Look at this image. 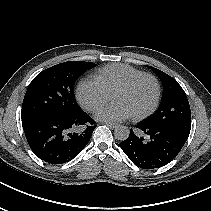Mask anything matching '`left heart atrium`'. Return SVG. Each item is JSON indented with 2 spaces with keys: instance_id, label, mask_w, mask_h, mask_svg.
I'll use <instances>...</instances> for the list:
<instances>
[{
  "instance_id": "39dd6f15",
  "label": "left heart atrium",
  "mask_w": 211,
  "mask_h": 211,
  "mask_svg": "<svg viewBox=\"0 0 211 211\" xmlns=\"http://www.w3.org/2000/svg\"><path fill=\"white\" fill-rule=\"evenodd\" d=\"M132 115L131 111L121 103H112L104 106L95 113L96 119L105 122H120L130 118Z\"/></svg>"
}]
</instances>
